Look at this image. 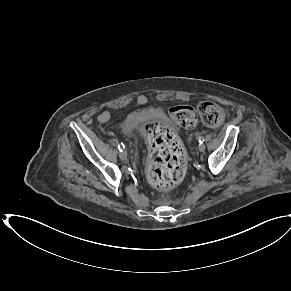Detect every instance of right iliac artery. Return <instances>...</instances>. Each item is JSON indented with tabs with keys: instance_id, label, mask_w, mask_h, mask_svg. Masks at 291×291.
<instances>
[{
	"instance_id": "82829eb1",
	"label": "right iliac artery",
	"mask_w": 291,
	"mask_h": 291,
	"mask_svg": "<svg viewBox=\"0 0 291 291\" xmlns=\"http://www.w3.org/2000/svg\"><path fill=\"white\" fill-rule=\"evenodd\" d=\"M124 148H125V146H124L123 143H121V144L118 145L119 151H122Z\"/></svg>"
}]
</instances>
